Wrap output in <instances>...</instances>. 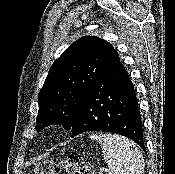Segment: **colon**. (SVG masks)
I'll return each mask as SVG.
<instances>
[{
  "label": "colon",
  "mask_w": 175,
  "mask_h": 174,
  "mask_svg": "<svg viewBox=\"0 0 175 174\" xmlns=\"http://www.w3.org/2000/svg\"><path fill=\"white\" fill-rule=\"evenodd\" d=\"M62 171H66L68 174H95L92 166L76 155H69L64 159L40 162L36 165L32 174H59Z\"/></svg>",
  "instance_id": "colon-1"
}]
</instances>
